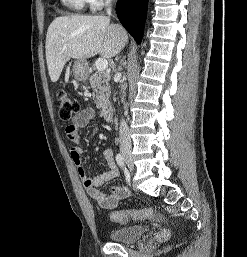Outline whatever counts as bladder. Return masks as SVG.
Segmentation results:
<instances>
[{
	"label": "bladder",
	"mask_w": 247,
	"mask_h": 257,
	"mask_svg": "<svg viewBox=\"0 0 247 257\" xmlns=\"http://www.w3.org/2000/svg\"><path fill=\"white\" fill-rule=\"evenodd\" d=\"M148 229L143 225L114 228L109 231V238L116 243L130 244L143 238Z\"/></svg>",
	"instance_id": "obj_1"
}]
</instances>
